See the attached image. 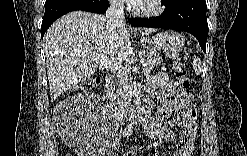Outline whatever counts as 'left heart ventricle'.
I'll return each instance as SVG.
<instances>
[{
  "label": "left heart ventricle",
  "mask_w": 247,
  "mask_h": 156,
  "mask_svg": "<svg viewBox=\"0 0 247 156\" xmlns=\"http://www.w3.org/2000/svg\"><path fill=\"white\" fill-rule=\"evenodd\" d=\"M150 1H142L140 4H138L141 8L145 9L150 6Z\"/></svg>",
  "instance_id": "left-heart-ventricle-1"
}]
</instances>
